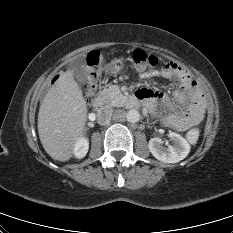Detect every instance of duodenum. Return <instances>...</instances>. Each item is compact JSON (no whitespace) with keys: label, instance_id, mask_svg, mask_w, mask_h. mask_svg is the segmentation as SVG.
Here are the masks:
<instances>
[{"label":"duodenum","instance_id":"obj_1","mask_svg":"<svg viewBox=\"0 0 233 233\" xmlns=\"http://www.w3.org/2000/svg\"><path fill=\"white\" fill-rule=\"evenodd\" d=\"M140 101V97L136 94L135 96L130 97L126 104L128 107L130 108H135ZM106 104V96L105 95H100L98 96L93 103V106L95 109H101L102 107H104V105Z\"/></svg>","mask_w":233,"mask_h":233}]
</instances>
